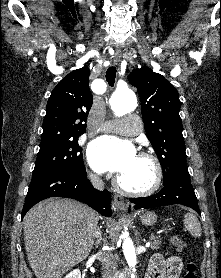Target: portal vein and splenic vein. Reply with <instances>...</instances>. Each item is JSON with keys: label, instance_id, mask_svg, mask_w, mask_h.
<instances>
[{"label": "portal vein and splenic vein", "instance_id": "portal-vein-and-splenic-vein-1", "mask_svg": "<svg viewBox=\"0 0 221 278\" xmlns=\"http://www.w3.org/2000/svg\"><path fill=\"white\" fill-rule=\"evenodd\" d=\"M150 246V243H146V247H149Z\"/></svg>", "mask_w": 221, "mask_h": 278}]
</instances>
